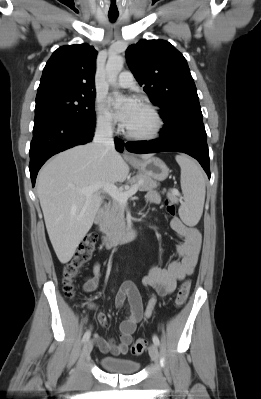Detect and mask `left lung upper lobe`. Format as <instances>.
<instances>
[{"mask_svg":"<svg viewBox=\"0 0 261 399\" xmlns=\"http://www.w3.org/2000/svg\"><path fill=\"white\" fill-rule=\"evenodd\" d=\"M126 58L139 85L160 108V133L202 119L197 89L184 56L168 41L141 40L127 48Z\"/></svg>","mask_w":261,"mask_h":399,"instance_id":"5c2ea615","label":"left lung upper lobe"}]
</instances>
